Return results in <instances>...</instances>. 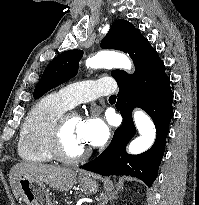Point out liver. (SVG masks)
I'll use <instances>...</instances> for the list:
<instances>
[{
	"label": "liver",
	"instance_id": "1",
	"mask_svg": "<svg viewBox=\"0 0 199 205\" xmlns=\"http://www.w3.org/2000/svg\"><path fill=\"white\" fill-rule=\"evenodd\" d=\"M22 176L36 179L54 190L67 192L75 184L77 171L41 163H18L9 173L10 186L16 199L19 197L18 180Z\"/></svg>",
	"mask_w": 199,
	"mask_h": 205
}]
</instances>
